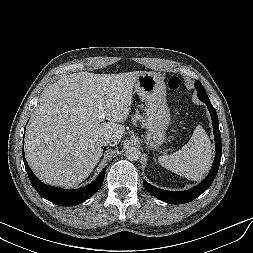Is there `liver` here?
Listing matches in <instances>:
<instances>
[{
  "label": "liver",
  "instance_id": "6515ba94",
  "mask_svg": "<svg viewBox=\"0 0 253 253\" xmlns=\"http://www.w3.org/2000/svg\"><path fill=\"white\" fill-rule=\"evenodd\" d=\"M141 71L118 74L73 73L42 94L27 126L26 159L45 183L73 187L100 160L105 137L118 144L125 132L135 82ZM102 101L108 122L98 119Z\"/></svg>",
  "mask_w": 253,
  "mask_h": 253
}]
</instances>
